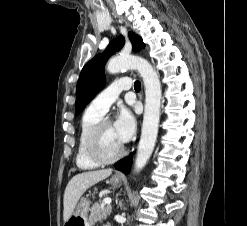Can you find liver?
<instances>
[{"label":"liver","instance_id":"1","mask_svg":"<svg viewBox=\"0 0 247 226\" xmlns=\"http://www.w3.org/2000/svg\"><path fill=\"white\" fill-rule=\"evenodd\" d=\"M112 173L111 169H103L96 171H87L75 175L67 184L64 193V211L63 219L66 222L73 213L80 197L92 185L109 177Z\"/></svg>","mask_w":247,"mask_h":226}]
</instances>
